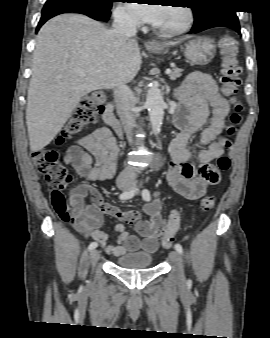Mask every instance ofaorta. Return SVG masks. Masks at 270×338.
Segmentation results:
<instances>
[{
    "instance_id": "obj_1",
    "label": "aorta",
    "mask_w": 270,
    "mask_h": 338,
    "mask_svg": "<svg viewBox=\"0 0 270 338\" xmlns=\"http://www.w3.org/2000/svg\"><path fill=\"white\" fill-rule=\"evenodd\" d=\"M146 106L149 113L152 130L155 135L159 134L164 119V99L158 86H151L147 91Z\"/></svg>"
}]
</instances>
